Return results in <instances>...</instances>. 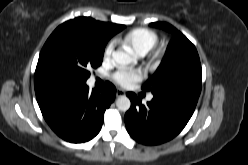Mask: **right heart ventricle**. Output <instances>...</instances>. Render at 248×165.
Here are the masks:
<instances>
[{
    "label": "right heart ventricle",
    "mask_w": 248,
    "mask_h": 165,
    "mask_svg": "<svg viewBox=\"0 0 248 165\" xmlns=\"http://www.w3.org/2000/svg\"><path fill=\"white\" fill-rule=\"evenodd\" d=\"M158 35L148 28H137L121 38L124 45L130 47L139 55L146 54L157 43Z\"/></svg>",
    "instance_id": "e07e8e85"
}]
</instances>
